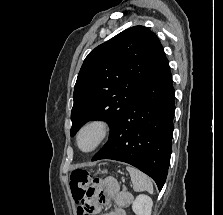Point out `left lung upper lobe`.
<instances>
[{
    "label": "left lung upper lobe",
    "instance_id": "left-lung-upper-lobe-1",
    "mask_svg": "<svg viewBox=\"0 0 223 215\" xmlns=\"http://www.w3.org/2000/svg\"><path fill=\"white\" fill-rule=\"evenodd\" d=\"M165 60L156 34L144 26L126 29L92 50L74 87L71 136L90 120L106 121L111 135Z\"/></svg>",
    "mask_w": 223,
    "mask_h": 215
}]
</instances>
